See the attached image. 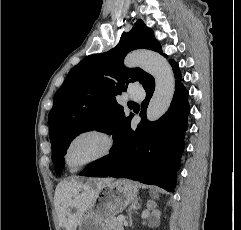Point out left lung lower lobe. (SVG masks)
I'll use <instances>...</instances> for the list:
<instances>
[{"label":"left lung lower lobe","mask_w":241,"mask_h":230,"mask_svg":"<svg viewBox=\"0 0 241 230\" xmlns=\"http://www.w3.org/2000/svg\"><path fill=\"white\" fill-rule=\"evenodd\" d=\"M170 64L177 81L168 111L157 121L146 120V109L155 89L151 78L144 86L147 95L141 104L142 120L137 129H131V119L124 122L109 155L91 163L80 173L81 176L128 178L173 191L190 107L178 64L173 60Z\"/></svg>","instance_id":"left-lung-lower-lobe-1"}]
</instances>
